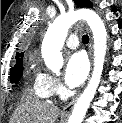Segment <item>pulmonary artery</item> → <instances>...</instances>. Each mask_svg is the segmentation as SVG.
Instances as JSON below:
<instances>
[{
  "label": "pulmonary artery",
  "instance_id": "obj_1",
  "mask_svg": "<svg viewBox=\"0 0 122 123\" xmlns=\"http://www.w3.org/2000/svg\"><path fill=\"white\" fill-rule=\"evenodd\" d=\"M78 44V37L76 35H70L66 40V46L70 49L77 48Z\"/></svg>",
  "mask_w": 122,
  "mask_h": 123
}]
</instances>
